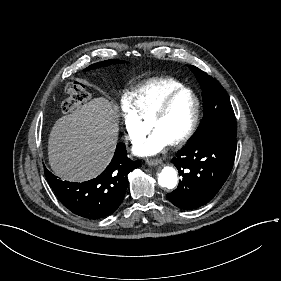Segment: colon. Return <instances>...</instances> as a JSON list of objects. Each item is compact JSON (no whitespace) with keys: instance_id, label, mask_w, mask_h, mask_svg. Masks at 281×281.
I'll return each mask as SVG.
<instances>
[{"instance_id":"colon-1","label":"colon","mask_w":281,"mask_h":281,"mask_svg":"<svg viewBox=\"0 0 281 281\" xmlns=\"http://www.w3.org/2000/svg\"><path fill=\"white\" fill-rule=\"evenodd\" d=\"M89 100L90 94L80 83H69L66 86V99L62 103V111L65 114H72L85 106Z\"/></svg>"}]
</instances>
